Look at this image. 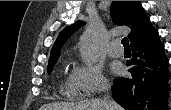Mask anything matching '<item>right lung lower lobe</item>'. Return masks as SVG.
Here are the masks:
<instances>
[{"instance_id": "1", "label": "right lung lower lobe", "mask_w": 171, "mask_h": 110, "mask_svg": "<svg viewBox=\"0 0 171 110\" xmlns=\"http://www.w3.org/2000/svg\"><path fill=\"white\" fill-rule=\"evenodd\" d=\"M127 77L114 81L113 98L126 110H168L170 73L158 31L131 45Z\"/></svg>"}]
</instances>
